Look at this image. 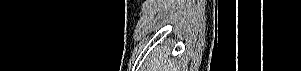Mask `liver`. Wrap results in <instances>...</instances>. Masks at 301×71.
Returning <instances> with one entry per match:
<instances>
[{"label":"liver","instance_id":"6515ba94","mask_svg":"<svg viewBox=\"0 0 301 71\" xmlns=\"http://www.w3.org/2000/svg\"><path fill=\"white\" fill-rule=\"evenodd\" d=\"M176 60H170L169 52L157 49L148 58L146 71H176Z\"/></svg>","mask_w":301,"mask_h":71}]
</instances>
